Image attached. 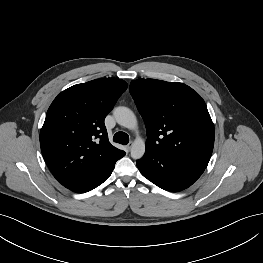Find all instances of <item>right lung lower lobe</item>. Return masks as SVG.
I'll use <instances>...</instances> for the list:
<instances>
[{"mask_svg": "<svg viewBox=\"0 0 263 263\" xmlns=\"http://www.w3.org/2000/svg\"><path fill=\"white\" fill-rule=\"evenodd\" d=\"M122 158V157H121ZM114 162L113 164H111L110 166H108L107 168L103 169L102 171L98 172L97 174L93 175L92 177L74 185L71 188H68L74 192L77 193H84L87 191H90L94 188H96L97 186H99L101 183H103L105 180H107L109 178V176L111 175L114 166H115Z\"/></svg>", "mask_w": 263, "mask_h": 263, "instance_id": "1", "label": "right lung lower lobe"}]
</instances>
